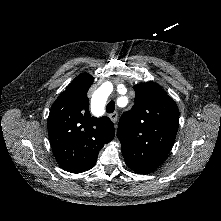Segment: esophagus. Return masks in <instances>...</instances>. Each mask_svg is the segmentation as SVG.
Segmentation results:
<instances>
[{"label":"esophagus","instance_id":"esophagus-1","mask_svg":"<svg viewBox=\"0 0 221 221\" xmlns=\"http://www.w3.org/2000/svg\"><path fill=\"white\" fill-rule=\"evenodd\" d=\"M109 118L116 123L117 119H118V113L117 112H113L109 115Z\"/></svg>","mask_w":221,"mask_h":221}]
</instances>
